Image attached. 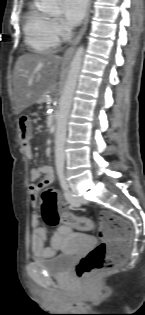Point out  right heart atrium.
I'll use <instances>...</instances> for the list:
<instances>
[{
    "instance_id": "d8ad5b80",
    "label": "right heart atrium",
    "mask_w": 145,
    "mask_h": 315,
    "mask_svg": "<svg viewBox=\"0 0 145 315\" xmlns=\"http://www.w3.org/2000/svg\"><path fill=\"white\" fill-rule=\"evenodd\" d=\"M51 22L52 28L57 34V36H65L67 34V28L61 21L53 19Z\"/></svg>"
}]
</instances>
